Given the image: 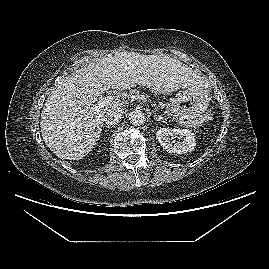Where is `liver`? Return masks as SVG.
Masks as SVG:
<instances>
[{"instance_id": "6515ba94", "label": "liver", "mask_w": 269, "mask_h": 269, "mask_svg": "<svg viewBox=\"0 0 269 269\" xmlns=\"http://www.w3.org/2000/svg\"><path fill=\"white\" fill-rule=\"evenodd\" d=\"M136 84L157 95L202 85L204 80L168 56L135 52L106 55L71 73L50 93L40 120L45 144L61 159H82L98 141L107 110L123 102L116 96L98 112L91 106L110 88L126 90Z\"/></svg>"}]
</instances>
